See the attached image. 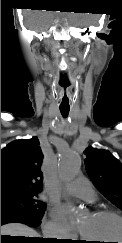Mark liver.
I'll list each match as a JSON object with an SVG mask.
<instances>
[{
	"mask_svg": "<svg viewBox=\"0 0 122 243\" xmlns=\"http://www.w3.org/2000/svg\"><path fill=\"white\" fill-rule=\"evenodd\" d=\"M1 235L39 237V234L34 229L20 223H10L1 226Z\"/></svg>",
	"mask_w": 122,
	"mask_h": 243,
	"instance_id": "1",
	"label": "liver"
}]
</instances>
